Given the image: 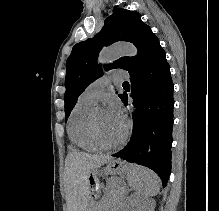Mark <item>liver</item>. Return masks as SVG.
Returning a JSON list of instances; mask_svg holds the SVG:
<instances>
[{"label":"liver","mask_w":219,"mask_h":211,"mask_svg":"<svg viewBox=\"0 0 219 211\" xmlns=\"http://www.w3.org/2000/svg\"><path fill=\"white\" fill-rule=\"evenodd\" d=\"M112 159L111 155H92L85 151H70L65 161V197L68 211H85L88 205L91 169Z\"/></svg>","instance_id":"1"}]
</instances>
